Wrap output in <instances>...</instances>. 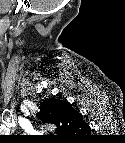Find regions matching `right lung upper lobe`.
Listing matches in <instances>:
<instances>
[{"instance_id": "cb5924a9", "label": "right lung upper lobe", "mask_w": 125, "mask_h": 143, "mask_svg": "<svg viewBox=\"0 0 125 143\" xmlns=\"http://www.w3.org/2000/svg\"><path fill=\"white\" fill-rule=\"evenodd\" d=\"M38 117L46 123L57 126L56 132L67 136H78L90 132L81 113L75 111L70 103L49 98L40 106Z\"/></svg>"}]
</instances>
